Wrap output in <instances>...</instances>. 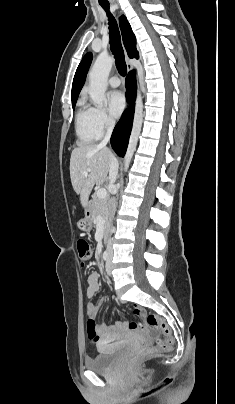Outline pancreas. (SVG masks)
I'll list each match as a JSON object with an SVG mask.
<instances>
[{
	"label": "pancreas",
	"mask_w": 235,
	"mask_h": 404,
	"mask_svg": "<svg viewBox=\"0 0 235 404\" xmlns=\"http://www.w3.org/2000/svg\"><path fill=\"white\" fill-rule=\"evenodd\" d=\"M110 213V202L108 198L100 199L95 194L91 204V216L95 220L97 216H101L104 221L108 219Z\"/></svg>",
	"instance_id": "1"
}]
</instances>
